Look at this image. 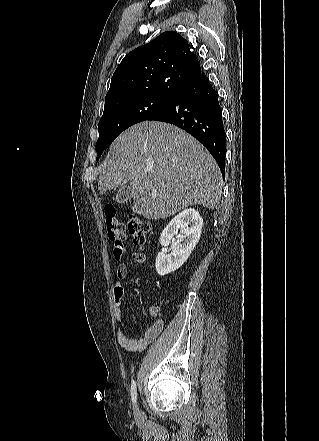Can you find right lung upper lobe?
<instances>
[{
    "label": "right lung upper lobe",
    "mask_w": 319,
    "mask_h": 441,
    "mask_svg": "<svg viewBox=\"0 0 319 441\" xmlns=\"http://www.w3.org/2000/svg\"><path fill=\"white\" fill-rule=\"evenodd\" d=\"M201 73L187 40L175 31L164 32L123 58L112 76L104 110L147 96L172 99Z\"/></svg>",
    "instance_id": "right-lung-upper-lobe-1"
}]
</instances>
